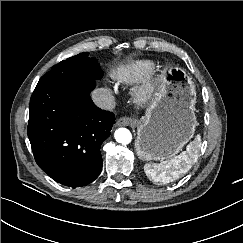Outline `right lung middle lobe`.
Wrapping results in <instances>:
<instances>
[{
	"instance_id": "right-lung-middle-lobe-1",
	"label": "right lung middle lobe",
	"mask_w": 243,
	"mask_h": 243,
	"mask_svg": "<svg viewBox=\"0 0 243 243\" xmlns=\"http://www.w3.org/2000/svg\"><path fill=\"white\" fill-rule=\"evenodd\" d=\"M89 53L84 52L59 62L41 77L40 81H72L97 80L103 76L95 58H88Z\"/></svg>"
}]
</instances>
